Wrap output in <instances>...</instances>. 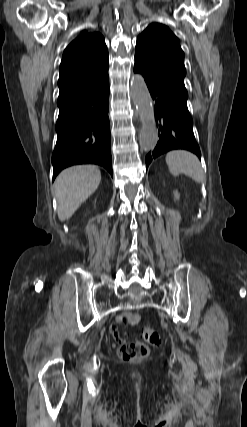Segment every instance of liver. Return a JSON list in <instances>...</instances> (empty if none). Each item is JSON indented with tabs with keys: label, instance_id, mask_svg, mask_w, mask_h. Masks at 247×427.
Instances as JSON below:
<instances>
[{
	"label": "liver",
	"instance_id": "obj_1",
	"mask_svg": "<svg viewBox=\"0 0 247 427\" xmlns=\"http://www.w3.org/2000/svg\"><path fill=\"white\" fill-rule=\"evenodd\" d=\"M100 180V169L94 165H77L63 170L54 183L59 220L71 218L81 204L95 192Z\"/></svg>",
	"mask_w": 247,
	"mask_h": 427
}]
</instances>
